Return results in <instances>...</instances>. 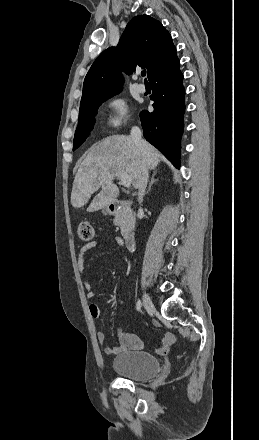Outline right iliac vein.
<instances>
[{
	"label": "right iliac vein",
	"mask_w": 259,
	"mask_h": 440,
	"mask_svg": "<svg viewBox=\"0 0 259 440\" xmlns=\"http://www.w3.org/2000/svg\"><path fill=\"white\" fill-rule=\"evenodd\" d=\"M143 306H144V309L147 311L151 310L153 307L152 300H151L149 294L146 292L144 293V297H143Z\"/></svg>",
	"instance_id": "63e3f726"
}]
</instances>
